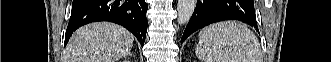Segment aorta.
<instances>
[{
  "mask_svg": "<svg viewBox=\"0 0 331 62\" xmlns=\"http://www.w3.org/2000/svg\"><path fill=\"white\" fill-rule=\"evenodd\" d=\"M197 0H178L177 21L180 25L186 24L193 15Z\"/></svg>",
  "mask_w": 331,
  "mask_h": 62,
  "instance_id": "aorta-1",
  "label": "aorta"
}]
</instances>
